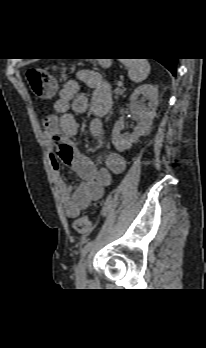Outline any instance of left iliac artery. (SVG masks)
<instances>
[{
  "label": "left iliac artery",
  "instance_id": "44dca946",
  "mask_svg": "<svg viewBox=\"0 0 206 348\" xmlns=\"http://www.w3.org/2000/svg\"><path fill=\"white\" fill-rule=\"evenodd\" d=\"M112 204H113L112 195H107L106 202L103 205V208L101 209V214L103 217H106V215H108L110 213V209H111ZM92 246H93L92 241L87 242L85 244V246L81 250V258H83L90 251Z\"/></svg>",
  "mask_w": 206,
  "mask_h": 348
}]
</instances>
